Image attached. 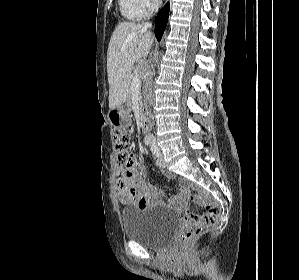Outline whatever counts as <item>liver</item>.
I'll return each mask as SVG.
<instances>
[{"instance_id": "liver-1", "label": "liver", "mask_w": 299, "mask_h": 280, "mask_svg": "<svg viewBox=\"0 0 299 280\" xmlns=\"http://www.w3.org/2000/svg\"><path fill=\"white\" fill-rule=\"evenodd\" d=\"M153 42L152 34L141 24L122 22L115 28L107 52L110 110L126 101L134 63L147 57Z\"/></svg>"}]
</instances>
